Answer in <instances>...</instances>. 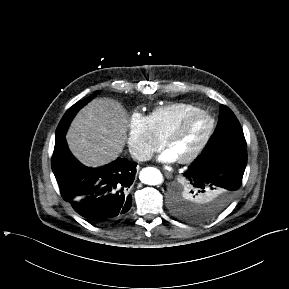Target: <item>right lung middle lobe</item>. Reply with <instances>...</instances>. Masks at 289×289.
<instances>
[{
  "mask_svg": "<svg viewBox=\"0 0 289 289\" xmlns=\"http://www.w3.org/2000/svg\"><path fill=\"white\" fill-rule=\"evenodd\" d=\"M94 96L89 97L88 99L82 100L74 104L72 107H70L66 113L64 114L63 118L61 119L57 130H56V139L63 136L67 130V127L69 126L71 120L77 113V111L82 108L84 105H86Z\"/></svg>",
  "mask_w": 289,
  "mask_h": 289,
  "instance_id": "1",
  "label": "right lung middle lobe"
}]
</instances>
